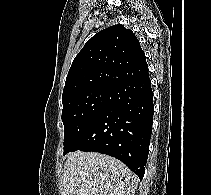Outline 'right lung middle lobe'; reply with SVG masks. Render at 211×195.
<instances>
[{
	"instance_id": "right-lung-middle-lobe-1",
	"label": "right lung middle lobe",
	"mask_w": 211,
	"mask_h": 195,
	"mask_svg": "<svg viewBox=\"0 0 211 195\" xmlns=\"http://www.w3.org/2000/svg\"><path fill=\"white\" fill-rule=\"evenodd\" d=\"M111 89L94 88L78 92L62 100L64 124V153L87 130L106 106Z\"/></svg>"
}]
</instances>
